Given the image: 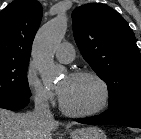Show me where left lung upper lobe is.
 I'll use <instances>...</instances> for the list:
<instances>
[{
    "instance_id": "5c2ea615",
    "label": "left lung upper lobe",
    "mask_w": 141,
    "mask_h": 139,
    "mask_svg": "<svg viewBox=\"0 0 141 139\" xmlns=\"http://www.w3.org/2000/svg\"><path fill=\"white\" fill-rule=\"evenodd\" d=\"M72 17L83 58L108 86L109 109L141 98V56L125 19L102 3L82 5Z\"/></svg>"
}]
</instances>
